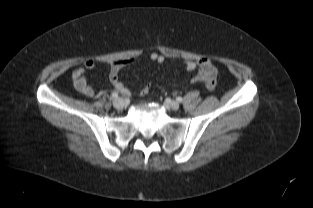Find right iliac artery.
I'll use <instances>...</instances> for the list:
<instances>
[{
    "label": "right iliac artery",
    "mask_w": 313,
    "mask_h": 208,
    "mask_svg": "<svg viewBox=\"0 0 313 208\" xmlns=\"http://www.w3.org/2000/svg\"><path fill=\"white\" fill-rule=\"evenodd\" d=\"M111 96H112L113 98H118V93H117V92H113V93L111 94Z\"/></svg>",
    "instance_id": "right-iliac-artery-1"
}]
</instances>
